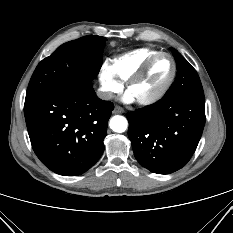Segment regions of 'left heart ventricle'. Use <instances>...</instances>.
I'll use <instances>...</instances> for the list:
<instances>
[{"mask_svg": "<svg viewBox=\"0 0 233 233\" xmlns=\"http://www.w3.org/2000/svg\"><path fill=\"white\" fill-rule=\"evenodd\" d=\"M171 73V61L167 57H161L153 64L144 79L133 85L129 92L135 99L148 97L168 80Z\"/></svg>", "mask_w": 233, "mask_h": 233, "instance_id": "1", "label": "left heart ventricle"}]
</instances>
